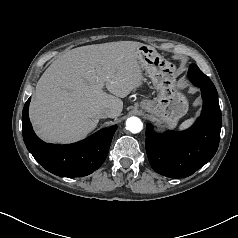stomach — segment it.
Wrapping results in <instances>:
<instances>
[{"instance_id":"1","label":"stomach","mask_w":238,"mask_h":238,"mask_svg":"<svg viewBox=\"0 0 238 238\" xmlns=\"http://www.w3.org/2000/svg\"><path fill=\"white\" fill-rule=\"evenodd\" d=\"M137 56L157 92L154 99H144L138 106L156 121L169 128L175 127L188 111V101L177 87L176 66L146 44L137 48Z\"/></svg>"}]
</instances>
